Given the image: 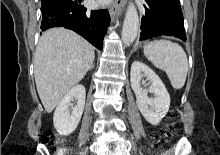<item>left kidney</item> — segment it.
<instances>
[{"mask_svg": "<svg viewBox=\"0 0 220 155\" xmlns=\"http://www.w3.org/2000/svg\"><path fill=\"white\" fill-rule=\"evenodd\" d=\"M150 80L148 89L141 87V79ZM131 87L136 95V104L143 117L152 125H158L170 106V95L159 76L146 64L134 61L130 71ZM148 92L154 97L149 98Z\"/></svg>", "mask_w": 220, "mask_h": 155, "instance_id": "1", "label": "left kidney"}]
</instances>
